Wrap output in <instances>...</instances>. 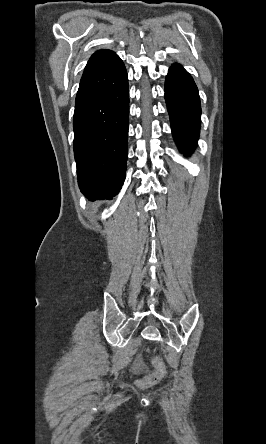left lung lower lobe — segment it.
<instances>
[{"mask_svg": "<svg viewBox=\"0 0 266 444\" xmlns=\"http://www.w3.org/2000/svg\"><path fill=\"white\" fill-rule=\"evenodd\" d=\"M165 99L174 140L181 152L189 155L197 145L201 107L193 78L179 64L172 65L168 71Z\"/></svg>", "mask_w": 266, "mask_h": 444, "instance_id": "1", "label": "left lung lower lobe"}]
</instances>
